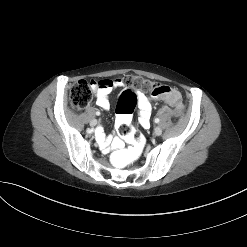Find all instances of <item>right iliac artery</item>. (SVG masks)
I'll list each match as a JSON object with an SVG mask.
<instances>
[{"instance_id": "right-iliac-artery-1", "label": "right iliac artery", "mask_w": 247, "mask_h": 247, "mask_svg": "<svg viewBox=\"0 0 247 247\" xmlns=\"http://www.w3.org/2000/svg\"><path fill=\"white\" fill-rule=\"evenodd\" d=\"M96 114H97V115H99V114H100V112H96Z\"/></svg>"}]
</instances>
